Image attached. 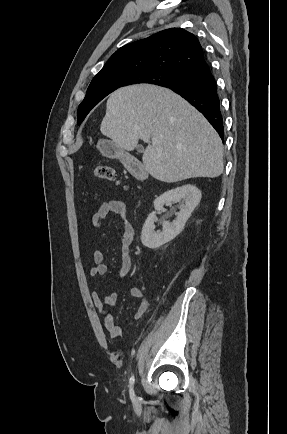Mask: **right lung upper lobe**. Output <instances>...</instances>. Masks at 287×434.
<instances>
[{"mask_svg":"<svg viewBox=\"0 0 287 434\" xmlns=\"http://www.w3.org/2000/svg\"><path fill=\"white\" fill-rule=\"evenodd\" d=\"M204 61L202 47L192 33L170 28L119 48L93 80L149 71L182 75Z\"/></svg>","mask_w":287,"mask_h":434,"instance_id":"right-lung-upper-lobe-1","label":"right lung upper lobe"}]
</instances>
